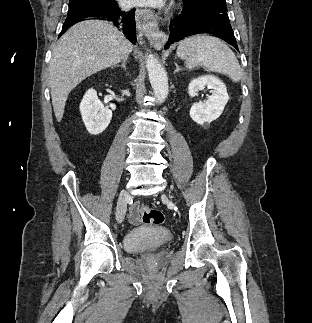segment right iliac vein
I'll use <instances>...</instances> for the list:
<instances>
[{"instance_id": "obj_1", "label": "right iliac vein", "mask_w": 312, "mask_h": 323, "mask_svg": "<svg viewBox=\"0 0 312 323\" xmlns=\"http://www.w3.org/2000/svg\"><path fill=\"white\" fill-rule=\"evenodd\" d=\"M130 194L126 190H122L117 201V221L123 222L127 211V200Z\"/></svg>"}]
</instances>
